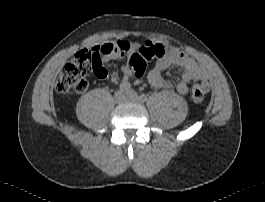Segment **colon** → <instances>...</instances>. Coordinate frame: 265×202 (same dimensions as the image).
<instances>
[{"mask_svg":"<svg viewBox=\"0 0 265 202\" xmlns=\"http://www.w3.org/2000/svg\"><path fill=\"white\" fill-rule=\"evenodd\" d=\"M115 49L114 44L94 46L85 50L70 59L62 68L56 83L55 89L59 93L83 92L88 82L87 75L93 71L98 76L105 75L106 71L99 62L98 56L101 52H110ZM120 53L128 52V46L122 45L118 48ZM165 53L164 47L160 44L143 45L129 56V63L132 68V77L140 80L143 76L148 62L155 58L162 57ZM208 83L204 79L196 78L190 83V92L193 101L202 102L208 94Z\"/></svg>","mask_w":265,"mask_h":202,"instance_id":"5ec220e1","label":"colon"}]
</instances>
